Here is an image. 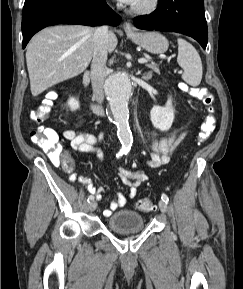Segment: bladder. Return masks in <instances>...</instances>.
<instances>
[{
  "label": "bladder",
  "instance_id": "obj_1",
  "mask_svg": "<svg viewBox=\"0 0 243 289\" xmlns=\"http://www.w3.org/2000/svg\"><path fill=\"white\" fill-rule=\"evenodd\" d=\"M108 228L117 233L141 231L145 221L141 214L132 210H121L111 214L107 219Z\"/></svg>",
  "mask_w": 243,
  "mask_h": 289
}]
</instances>
